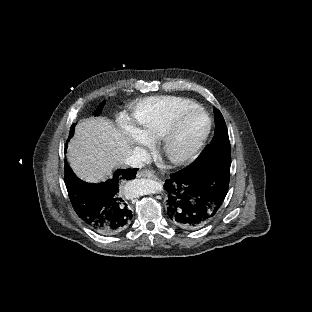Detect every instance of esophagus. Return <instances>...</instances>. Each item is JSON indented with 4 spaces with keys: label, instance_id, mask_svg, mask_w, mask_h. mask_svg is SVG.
Here are the masks:
<instances>
[{
    "label": "esophagus",
    "instance_id": "obj_1",
    "mask_svg": "<svg viewBox=\"0 0 312 312\" xmlns=\"http://www.w3.org/2000/svg\"><path fill=\"white\" fill-rule=\"evenodd\" d=\"M136 176L138 178H150L153 180H158L156 175L152 171H149V170H139Z\"/></svg>",
    "mask_w": 312,
    "mask_h": 312
}]
</instances>
